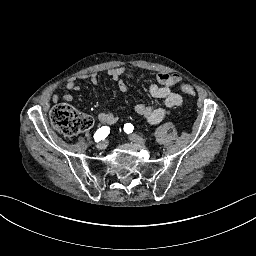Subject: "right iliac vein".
<instances>
[{
	"mask_svg": "<svg viewBox=\"0 0 256 256\" xmlns=\"http://www.w3.org/2000/svg\"><path fill=\"white\" fill-rule=\"evenodd\" d=\"M96 147L99 150H105L107 148V142L106 141H102Z\"/></svg>",
	"mask_w": 256,
	"mask_h": 256,
	"instance_id": "obj_1",
	"label": "right iliac vein"
}]
</instances>
